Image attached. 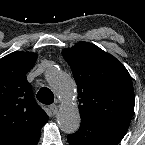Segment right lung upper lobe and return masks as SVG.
Masks as SVG:
<instances>
[{
	"label": "right lung upper lobe",
	"instance_id": "obj_1",
	"mask_svg": "<svg viewBox=\"0 0 145 145\" xmlns=\"http://www.w3.org/2000/svg\"><path fill=\"white\" fill-rule=\"evenodd\" d=\"M36 59L32 52H13L0 59V145H19L49 119L26 79Z\"/></svg>",
	"mask_w": 145,
	"mask_h": 145
}]
</instances>
